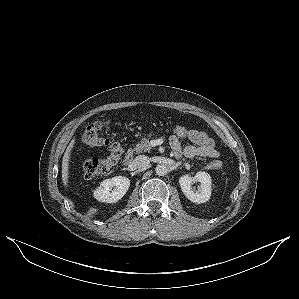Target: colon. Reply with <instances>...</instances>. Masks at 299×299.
Segmentation results:
<instances>
[{
	"instance_id": "1",
	"label": "colon",
	"mask_w": 299,
	"mask_h": 299,
	"mask_svg": "<svg viewBox=\"0 0 299 299\" xmlns=\"http://www.w3.org/2000/svg\"><path fill=\"white\" fill-rule=\"evenodd\" d=\"M104 123L95 122L90 124L83 132L82 140L90 148L105 147L109 154L105 158L91 157L83 162V173L87 178H93L108 173L119 161L123 154V148L118 142L110 141L101 136ZM173 136L179 139L189 140L194 129L186 128L182 125H173L171 127ZM215 168H220L221 163L214 162Z\"/></svg>"
}]
</instances>
